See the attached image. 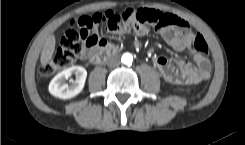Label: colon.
Returning a JSON list of instances; mask_svg holds the SVG:
<instances>
[{"label":"colon","mask_w":245,"mask_h":145,"mask_svg":"<svg viewBox=\"0 0 245 145\" xmlns=\"http://www.w3.org/2000/svg\"><path fill=\"white\" fill-rule=\"evenodd\" d=\"M178 19L172 15L162 13L155 9L139 8L121 11L105 10L92 15H80L67 25L60 40L59 47L52 58L41 67L45 76L69 67L76 56L87 47L98 45V36L92 29L94 26L105 23L109 29L128 31L141 27H173ZM193 47L202 55L208 53V45L203 36L196 34L192 41ZM209 68L205 66L203 75L208 76Z\"/></svg>","instance_id":"colon-1"}]
</instances>
